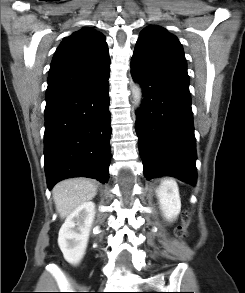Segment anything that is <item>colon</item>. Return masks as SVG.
I'll use <instances>...</instances> for the list:
<instances>
[{"instance_id":"obj_1","label":"colon","mask_w":245,"mask_h":293,"mask_svg":"<svg viewBox=\"0 0 245 293\" xmlns=\"http://www.w3.org/2000/svg\"><path fill=\"white\" fill-rule=\"evenodd\" d=\"M190 222V216L186 215L183 220V224L177 227L176 236L178 238H184L187 236L186 226Z\"/></svg>"}]
</instances>
